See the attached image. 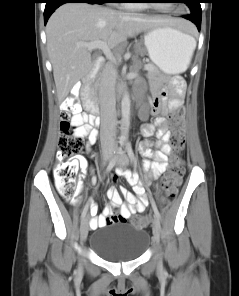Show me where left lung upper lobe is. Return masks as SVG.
<instances>
[{"label":"left lung upper lobe","mask_w":239,"mask_h":296,"mask_svg":"<svg viewBox=\"0 0 239 296\" xmlns=\"http://www.w3.org/2000/svg\"><path fill=\"white\" fill-rule=\"evenodd\" d=\"M201 0H182V3H186L188 7L190 8V13L201 17V6H200Z\"/></svg>","instance_id":"1"}]
</instances>
